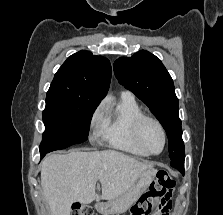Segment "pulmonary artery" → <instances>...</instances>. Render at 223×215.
<instances>
[{
    "label": "pulmonary artery",
    "instance_id": "pulmonary-artery-1",
    "mask_svg": "<svg viewBox=\"0 0 223 215\" xmlns=\"http://www.w3.org/2000/svg\"><path fill=\"white\" fill-rule=\"evenodd\" d=\"M124 94H128V95H130L129 93H127V92H125Z\"/></svg>",
    "mask_w": 223,
    "mask_h": 215
}]
</instances>
